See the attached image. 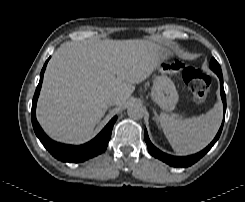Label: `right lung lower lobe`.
<instances>
[{"mask_svg": "<svg viewBox=\"0 0 245 202\" xmlns=\"http://www.w3.org/2000/svg\"><path fill=\"white\" fill-rule=\"evenodd\" d=\"M49 60V59H48ZM48 60L45 62L43 69L40 74V81L36 88L33 102H32V110H31V116H32V125L35 131L36 136L39 138V140L42 142L44 147L58 160L64 161V162H83L89 158H92L98 154H101L104 152L108 146V142L111 137V132L113 129V125L117 120V116L113 117L110 122L105 126V128L90 142L80 145V146H72V145H66L61 144L52 141L50 138L46 136V134L43 132V130L40 128L36 116H35V109H36V103L37 99L40 93L42 81H43V75L44 71L47 65Z\"/></svg>", "mask_w": 245, "mask_h": 202, "instance_id": "obj_1", "label": "right lung lower lobe"}]
</instances>
